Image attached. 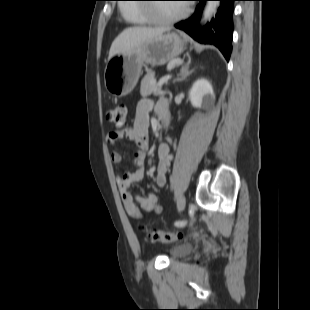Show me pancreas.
<instances>
[{"instance_id": "1", "label": "pancreas", "mask_w": 310, "mask_h": 310, "mask_svg": "<svg viewBox=\"0 0 310 310\" xmlns=\"http://www.w3.org/2000/svg\"><path fill=\"white\" fill-rule=\"evenodd\" d=\"M160 90H161V86H159L156 83L154 71L147 72V74L144 76V78L141 81V89H140L141 95L147 96L152 93L159 92Z\"/></svg>"}]
</instances>
